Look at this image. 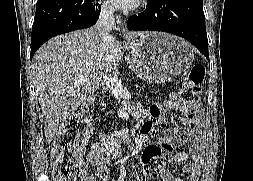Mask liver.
Here are the masks:
<instances>
[{
	"mask_svg": "<svg viewBox=\"0 0 253 181\" xmlns=\"http://www.w3.org/2000/svg\"><path fill=\"white\" fill-rule=\"evenodd\" d=\"M146 32H130V40ZM104 42L95 27L59 35L42 45L32 60V81L50 143L62 122L93 95L105 74L116 72L123 48L114 36Z\"/></svg>",
	"mask_w": 253,
	"mask_h": 181,
	"instance_id": "liver-1",
	"label": "liver"
}]
</instances>
